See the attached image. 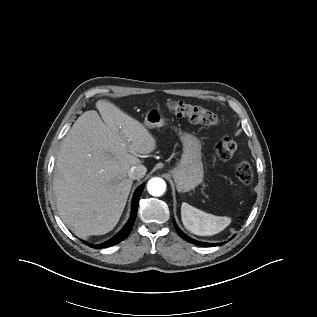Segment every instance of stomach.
<instances>
[{
	"instance_id": "obj_1",
	"label": "stomach",
	"mask_w": 317,
	"mask_h": 317,
	"mask_svg": "<svg viewBox=\"0 0 317 317\" xmlns=\"http://www.w3.org/2000/svg\"><path fill=\"white\" fill-rule=\"evenodd\" d=\"M145 126L153 129L165 124V117L160 108L150 109L145 116ZM179 136L183 144V153L176 166L169 171L178 192H189L196 188L204 177L201 160L200 140L189 132L180 131Z\"/></svg>"
}]
</instances>
